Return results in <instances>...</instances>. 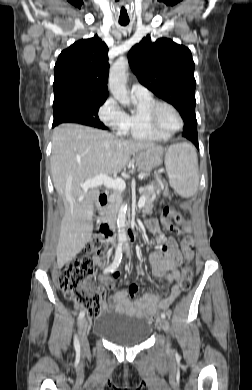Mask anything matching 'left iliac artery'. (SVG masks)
<instances>
[{
	"instance_id": "obj_1",
	"label": "left iliac artery",
	"mask_w": 252,
	"mask_h": 390,
	"mask_svg": "<svg viewBox=\"0 0 252 390\" xmlns=\"http://www.w3.org/2000/svg\"><path fill=\"white\" fill-rule=\"evenodd\" d=\"M126 248H127V256H129V246L126 245ZM161 318H166L165 313H162V314H161Z\"/></svg>"
}]
</instances>
